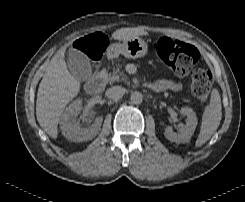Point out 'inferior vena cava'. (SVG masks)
I'll use <instances>...</instances> for the list:
<instances>
[{"label": "inferior vena cava", "mask_w": 245, "mask_h": 202, "mask_svg": "<svg viewBox=\"0 0 245 202\" xmlns=\"http://www.w3.org/2000/svg\"><path fill=\"white\" fill-rule=\"evenodd\" d=\"M125 94V89L121 86H113L106 91V96L113 100H119Z\"/></svg>", "instance_id": "inferior-vena-cava-1"}]
</instances>
